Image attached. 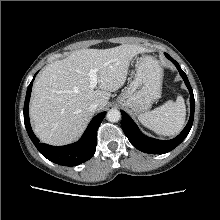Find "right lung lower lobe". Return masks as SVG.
Wrapping results in <instances>:
<instances>
[{"instance_id":"1","label":"right lung lower lobe","mask_w":220,"mask_h":220,"mask_svg":"<svg viewBox=\"0 0 220 220\" xmlns=\"http://www.w3.org/2000/svg\"><path fill=\"white\" fill-rule=\"evenodd\" d=\"M35 79V76L33 80ZM28 86L24 103V123L28 135L38 151L48 160L63 166H76L89 160L95 153L97 143V130L105 117L106 112L96 115L88 125L82 138L66 146H51L40 143L34 135L29 121L28 105L32 90V82Z\"/></svg>"}]
</instances>
